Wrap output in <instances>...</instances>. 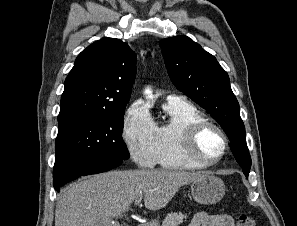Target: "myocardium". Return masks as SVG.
<instances>
[{
    "label": "myocardium",
    "instance_id": "myocardium-1",
    "mask_svg": "<svg viewBox=\"0 0 297 226\" xmlns=\"http://www.w3.org/2000/svg\"><path fill=\"white\" fill-rule=\"evenodd\" d=\"M209 128L214 129L222 140L220 153L213 159H207L203 157L198 151L199 137ZM180 140L184 155L200 167H209L219 163L225 156L229 145L228 136L222 127L217 123L207 119L199 120L187 125L180 132Z\"/></svg>",
    "mask_w": 297,
    "mask_h": 226
}]
</instances>
